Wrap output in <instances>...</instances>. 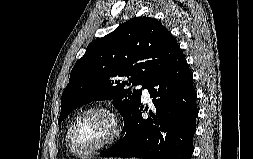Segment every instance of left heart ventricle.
I'll return each mask as SVG.
<instances>
[{"label": "left heart ventricle", "mask_w": 253, "mask_h": 159, "mask_svg": "<svg viewBox=\"0 0 253 159\" xmlns=\"http://www.w3.org/2000/svg\"><path fill=\"white\" fill-rule=\"evenodd\" d=\"M112 133L113 124L106 113L90 112L75 125L72 145L75 150L85 152L107 140Z\"/></svg>", "instance_id": "left-heart-ventricle-1"}]
</instances>
